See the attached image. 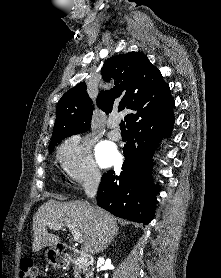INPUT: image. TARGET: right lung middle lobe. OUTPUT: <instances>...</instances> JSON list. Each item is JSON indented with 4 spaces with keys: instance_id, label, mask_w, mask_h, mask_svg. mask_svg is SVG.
<instances>
[{
    "instance_id": "dd1d6c3e",
    "label": "right lung middle lobe",
    "mask_w": 221,
    "mask_h": 278,
    "mask_svg": "<svg viewBox=\"0 0 221 278\" xmlns=\"http://www.w3.org/2000/svg\"><path fill=\"white\" fill-rule=\"evenodd\" d=\"M54 146H55V145H51V146H50V151H49L50 153H51V150L54 148Z\"/></svg>"
}]
</instances>
